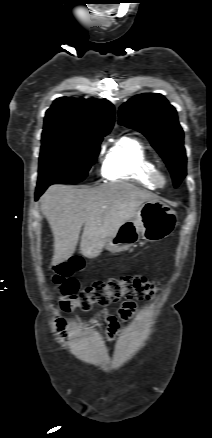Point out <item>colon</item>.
<instances>
[{
  "label": "colon",
  "mask_w": 212,
  "mask_h": 438,
  "mask_svg": "<svg viewBox=\"0 0 212 438\" xmlns=\"http://www.w3.org/2000/svg\"><path fill=\"white\" fill-rule=\"evenodd\" d=\"M82 268L83 261L79 257H73L54 267L52 281L63 296L60 306L64 311L89 310L94 304L106 306L122 298L128 300L151 299L158 291L154 282L139 276L97 281L79 291L77 281L72 275ZM58 322L60 325L63 324L62 319H59Z\"/></svg>",
  "instance_id": "1"
}]
</instances>
